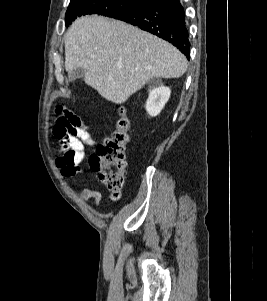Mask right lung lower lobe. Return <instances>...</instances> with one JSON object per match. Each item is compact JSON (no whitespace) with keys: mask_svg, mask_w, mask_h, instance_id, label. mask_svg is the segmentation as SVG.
I'll use <instances>...</instances> for the list:
<instances>
[{"mask_svg":"<svg viewBox=\"0 0 267 301\" xmlns=\"http://www.w3.org/2000/svg\"><path fill=\"white\" fill-rule=\"evenodd\" d=\"M113 18L148 31L176 46L187 58L190 42L185 13L179 0H154Z\"/></svg>","mask_w":267,"mask_h":301,"instance_id":"1","label":"right lung lower lobe"}]
</instances>
